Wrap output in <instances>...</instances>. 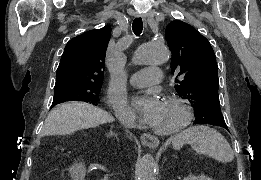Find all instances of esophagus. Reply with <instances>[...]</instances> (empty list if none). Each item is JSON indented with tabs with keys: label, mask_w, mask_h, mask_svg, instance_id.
Wrapping results in <instances>:
<instances>
[{
	"label": "esophagus",
	"mask_w": 261,
	"mask_h": 180,
	"mask_svg": "<svg viewBox=\"0 0 261 180\" xmlns=\"http://www.w3.org/2000/svg\"><path fill=\"white\" fill-rule=\"evenodd\" d=\"M137 16H140L146 25V15L141 13L137 14ZM141 142L149 148H156L159 145L158 138L151 133H143V135H141Z\"/></svg>",
	"instance_id": "1"
}]
</instances>
